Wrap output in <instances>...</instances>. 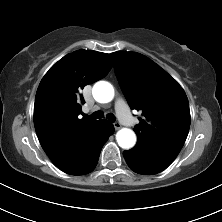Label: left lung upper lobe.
Returning a JSON list of instances; mask_svg holds the SVG:
<instances>
[{"mask_svg": "<svg viewBox=\"0 0 222 222\" xmlns=\"http://www.w3.org/2000/svg\"><path fill=\"white\" fill-rule=\"evenodd\" d=\"M121 89L132 109L142 112L135 126L134 148L171 164L190 127L189 102L181 86L146 56L119 51L110 54Z\"/></svg>", "mask_w": 222, "mask_h": 222, "instance_id": "1", "label": "left lung upper lobe"}]
</instances>
